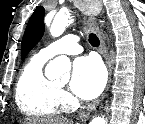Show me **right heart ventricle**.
Listing matches in <instances>:
<instances>
[{
	"mask_svg": "<svg viewBox=\"0 0 145 124\" xmlns=\"http://www.w3.org/2000/svg\"><path fill=\"white\" fill-rule=\"evenodd\" d=\"M48 59L34 55L23 67L16 84L15 101L21 112L32 117H52L60 109V93L47 79L43 67Z\"/></svg>",
	"mask_w": 145,
	"mask_h": 124,
	"instance_id": "e07e8e85",
	"label": "right heart ventricle"
}]
</instances>
